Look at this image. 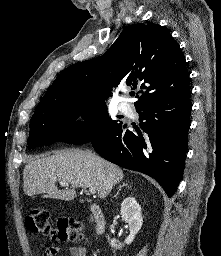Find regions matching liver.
<instances>
[{"label": "liver", "instance_id": "liver-1", "mask_svg": "<svg viewBox=\"0 0 221 256\" xmlns=\"http://www.w3.org/2000/svg\"><path fill=\"white\" fill-rule=\"evenodd\" d=\"M123 177L116 165L90 151L74 149L28 163L23 171V190L27 196L43 194L44 198L71 201L76 197V188L93 187L104 199ZM56 181L68 185L58 190Z\"/></svg>", "mask_w": 221, "mask_h": 256}]
</instances>
